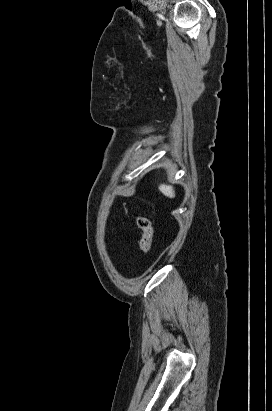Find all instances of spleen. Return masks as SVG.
<instances>
[{
  "instance_id": "3e777b00",
  "label": "spleen",
  "mask_w": 272,
  "mask_h": 411,
  "mask_svg": "<svg viewBox=\"0 0 272 411\" xmlns=\"http://www.w3.org/2000/svg\"><path fill=\"white\" fill-rule=\"evenodd\" d=\"M159 190L167 197L169 198H174L175 197V191L172 186L170 185H165L161 184L159 186Z\"/></svg>"
}]
</instances>
